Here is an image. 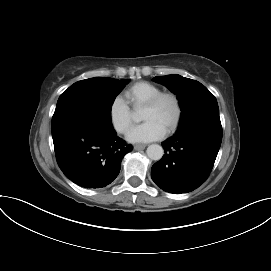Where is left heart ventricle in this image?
<instances>
[{
	"label": "left heart ventricle",
	"mask_w": 271,
	"mask_h": 271,
	"mask_svg": "<svg viewBox=\"0 0 271 271\" xmlns=\"http://www.w3.org/2000/svg\"><path fill=\"white\" fill-rule=\"evenodd\" d=\"M175 116V107L171 99H162L152 109H142L141 119L143 121L154 120L165 130L169 128Z\"/></svg>",
	"instance_id": "b2bd125f"
}]
</instances>
